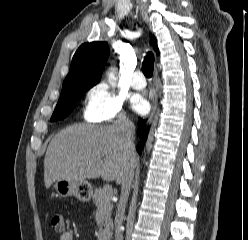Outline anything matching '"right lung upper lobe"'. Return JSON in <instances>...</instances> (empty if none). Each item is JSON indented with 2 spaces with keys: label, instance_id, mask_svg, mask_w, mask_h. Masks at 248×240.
<instances>
[{
  "label": "right lung upper lobe",
  "instance_id": "1",
  "mask_svg": "<svg viewBox=\"0 0 248 240\" xmlns=\"http://www.w3.org/2000/svg\"><path fill=\"white\" fill-rule=\"evenodd\" d=\"M154 50L159 54L156 39L151 42ZM109 55L107 42L96 41L83 43L73 56L70 71L64 80L63 87L70 86L91 88L101 78V74Z\"/></svg>",
  "mask_w": 248,
  "mask_h": 240
}]
</instances>
